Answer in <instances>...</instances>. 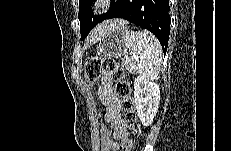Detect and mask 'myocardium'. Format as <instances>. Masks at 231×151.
Returning <instances> with one entry per match:
<instances>
[{
	"label": "myocardium",
	"instance_id": "obj_1",
	"mask_svg": "<svg viewBox=\"0 0 231 151\" xmlns=\"http://www.w3.org/2000/svg\"><path fill=\"white\" fill-rule=\"evenodd\" d=\"M109 0H97L93 2L94 11H102L106 8V6L110 3Z\"/></svg>",
	"mask_w": 231,
	"mask_h": 151
}]
</instances>
